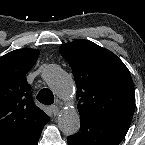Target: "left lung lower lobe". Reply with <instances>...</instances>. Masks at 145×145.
Returning <instances> with one entry per match:
<instances>
[{
  "instance_id": "obj_1",
  "label": "left lung lower lobe",
  "mask_w": 145,
  "mask_h": 145,
  "mask_svg": "<svg viewBox=\"0 0 145 145\" xmlns=\"http://www.w3.org/2000/svg\"><path fill=\"white\" fill-rule=\"evenodd\" d=\"M130 123L124 119L81 118L80 131L67 140L69 145H118Z\"/></svg>"
}]
</instances>
